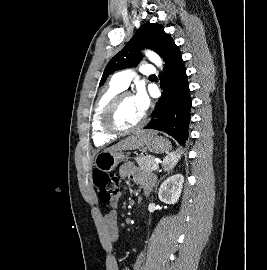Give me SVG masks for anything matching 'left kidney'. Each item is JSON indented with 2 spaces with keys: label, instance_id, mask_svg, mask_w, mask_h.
<instances>
[{
  "label": "left kidney",
  "instance_id": "obj_1",
  "mask_svg": "<svg viewBox=\"0 0 267 270\" xmlns=\"http://www.w3.org/2000/svg\"><path fill=\"white\" fill-rule=\"evenodd\" d=\"M183 183L184 177L182 174H175L168 177L159 188V199L168 204L177 203L181 195Z\"/></svg>",
  "mask_w": 267,
  "mask_h": 270
}]
</instances>
